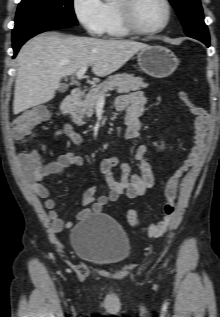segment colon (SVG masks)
<instances>
[{"mask_svg":"<svg viewBox=\"0 0 220 317\" xmlns=\"http://www.w3.org/2000/svg\"><path fill=\"white\" fill-rule=\"evenodd\" d=\"M182 99L189 106L191 113L195 117V130L193 136L192 146L182 162V164L175 169L168 177L164 185L165 204L163 207L164 217L158 224H151L146 227L143 226L142 220L136 210H129L127 212L128 223L141 230L146 231L150 236H160L166 232L176 221V205L175 200L177 197V188L182 175L187 169L194 164L197 160L210 126V116L206 109L193 103L188 95L184 92L181 93ZM49 116V110L45 106H38L29 109L17 116L12 120V131L16 139L26 140L30 137L33 128L45 121ZM26 162L28 165L38 169L42 165L39 155L35 153L26 154Z\"/></svg>","mask_w":220,"mask_h":317,"instance_id":"5ec220e1","label":"colon"}]
</instances>
